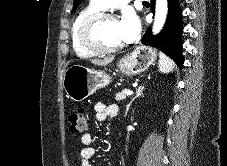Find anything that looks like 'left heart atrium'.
I'll use <instances>...</instances> for the list:
<instances>
[{"label":"left heart atrium","instance_id":"obj_1","mask_svg":"<svg viewBox=\"0 0 227 166\" xmlns=\"http://www.w3.org/2000/svg\"><path fill=\"white\" fill-rule=\"evenodd\" d=\"M119 23L124 42L133 41L140 30V21L138 17L134 13L128 12Z\"/></svg>","mask_w":227,"mask_h":166}]
</instances>
